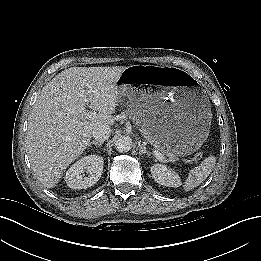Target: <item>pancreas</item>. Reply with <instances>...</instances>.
Segmentation results:
<instances>
[{
  "label": "pancreas",
  "mask_w": 261,
  "mask_h": 261,
  "mask_svg": "<svg viewBox=\"0 0 261 261\" xmlns=\"http://www.w3.org/2000/svg\"><path fill=\"white\" fill-rule=\"evenodd\" d=\"M128 114L130 117H132L133 121H135L137 124H139V120H138V117H137V114L133 111H128ZM155 148L161 152L163 155H166L169 159V161H174L176 159V156L172 153H166V150L164 147H161V146H155Z\"/></svg>",
  "instance_id": "obj_1"
}]
</instances>
